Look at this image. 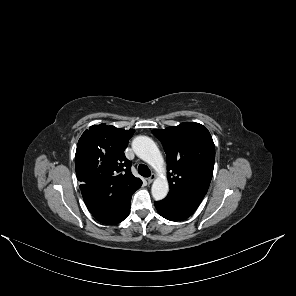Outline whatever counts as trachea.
Wrapping results in <instances>:
<instances>
[{"label": "trachea", "mask_w": 296, "mask_h": 296, "mask_svg": "<svg viewBox=\"0 0 296 296\" xmlns=\"http://www.w3.org/2000/svg\"><path fill=\"white\" fill-rule=\"evenodd\" d=\"M138 173L143 177H149L151 175L150 169L144 164L138 166Z\"/></svg>", "instance_id": "obj_1"}]
</instances>
